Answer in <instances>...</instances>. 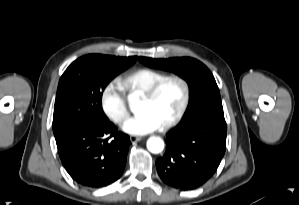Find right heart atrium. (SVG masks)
Masks as SVG:
<instances>
[{
  "label": "right heart atrium",
  "mask_w": 299,
  "mask_h": 205,
  "mask_svg": "<svg viewBox=\"0 0 299 205\" xmlns=\"http://www.w3.org/2000/svg\"><path fill=\"white\" fill-rule=\"evenodd\" d=\"M103 113L115 124L123 123L128 117V107L117 81L108 82L100 93Z\"/></svg>",
  "instance_id": "d8ad5b80"
}]
</instances>
